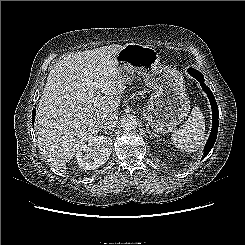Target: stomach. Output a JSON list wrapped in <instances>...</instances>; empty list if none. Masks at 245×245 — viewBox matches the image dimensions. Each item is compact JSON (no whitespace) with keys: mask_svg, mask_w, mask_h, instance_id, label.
<instances>
[{"mask_svg":"<svg viewBox=\"0 0 245 245\" xmlns=\"http://www.w3.org/2000/svg\"><path fill=\"white\" fill-rule=\"evenodd\" d=\"M116 61L127 84L138 74L154 90L143 116L156 136L173 131L188 116L190 101L183 76L175 69L159 66L160 56L153 47L128 43Z\"/></svg>","mask_w":245,"mask_h":245,"instance_id":"1","label":"stomach"}]
</instances>
